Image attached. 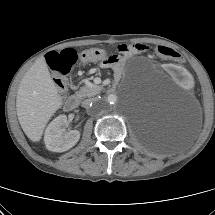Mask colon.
I'll return each instance as SVG.
<instances>
[{
  "mask_svg": "<svg viewBox=\"0 0 215 215\" xmlns=\"http://www.w3.org/2000/svg\"><path fill=\"white\" fill-rule=\"evenodd\" d=\"M136 46L134 44H122L118 47L120 53H126L133 50ZM156 54L169 60H177L181 64L187 63V58L179 54L174 49L167 46H157L155 49ZM81 59L84 61L93 60H106L107 57L105 50L100 48H90L81 52ZM78 53L74 49H64L59 52L51 51L46 55V61L54 75V82L60 92H64L67 88L66 75L70 71L72 65L77 61Z\"/></svg>",
  "mask_w": 215,
  "mask_h": 215,
  "instance_id": "5ec220e1",
  "label": "colon"
}]
</instances>
